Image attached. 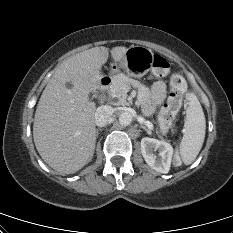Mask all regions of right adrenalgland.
Listing matches in <instances>:
<instances>
[{
    "mask_svg": "<svg viewBox=\"0 0 233 233\" xmlns=\"http://www.w3.org/2000/svg\"><path fill=\"white\" fill-rule=\"evenodd\" d=\"M102 131V129H97L96 130V137H98L99 132Z\"/></svg>",
    "mask_w": 233,
    "mask_h": 233,
    "instance_id": "right-adrenal-gland-1",
    "label": "right adrenal gland"
}]
</instances>
